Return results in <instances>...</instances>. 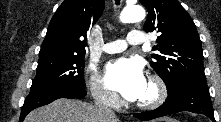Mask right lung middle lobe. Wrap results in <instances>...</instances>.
Listing matches in <instances>:
<instances>
[{"instance_id": "dd1d6c3e", "label": "right lung middle lobe", "mask_w": 221, "mask_h": 122, "mask_svg": "<svg viewBox=\"0 0 221 122\" xmlns=\"http://www.w3.org/2000/svg\"><path fill=\"white\" fill-rule=\"evenodd\" d=\"M84 56H55L38 60L36 77L30 91L57 86L85 89Z\"/></svg>"}]
</instances>
